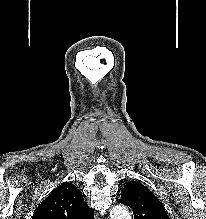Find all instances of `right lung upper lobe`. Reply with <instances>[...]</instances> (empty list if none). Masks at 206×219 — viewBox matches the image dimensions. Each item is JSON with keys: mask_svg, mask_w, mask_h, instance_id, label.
<instances>
[{"mask_svg": "<svg viewBox=\"0 0 206 219\" xmlns=\"http://www.w3.org/2000/svg\"><path fill=\"white\" fill-rule=\"evenodd\" d=\"M93 210L72 183L57 186L36 208L32 219H94Z\"/></svg>", "mask_w": 206, "mask_h": 219, "instance_id": "1", "label": "right lung upper lobe"}]
</instances>
